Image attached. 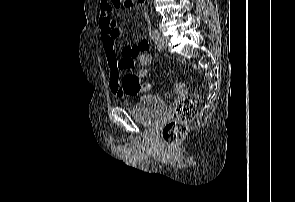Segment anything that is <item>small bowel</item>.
<instances>
[{"mask_svg":"<svg viewBox=\"0 0 295 202\" xmlns=\"http://www.w3.org/2000/svg\"><path fill=\"white\" fill-rule=\"evenodd\" d=\"M117 8L110 0H101L99 13L100 39L103 50L107 55L109 68V87L110 90L118 96L136 95L149 90H134L133 92H124L120 75L123 71L130 69L135 63H138L140 52H147L149 43L141 41L136 45L123 46L120 52L116 51V41L121 36L122 30L117 22L112 18L113 10ZM146 42V43H143ZM151 63V61H150ZM138 79H144L147 75H137ZM182 98H187V93H182Z\"/></svg>","mask_w":295,"mask_h":202,"instance_id":"small-bowel-1","label":"small bowel"}]
</instances>
